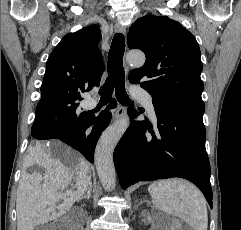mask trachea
<instances>
[{
	"label": "trachea",
	"mask_w": 241,
	"mask_h": 230,
	"mask_svg": "<svg viewBox=\"0 0 241 230\" xmlns=\"http://www.w3.org/2000/svg\"><path fill=\"white\" fill-rule=\"evenodd\" d=\"M124 51V36L121 33H117L114 35L108 55V77L99 90L101 103H108L110 101L114 88L116 98L120 103H132L125 91V73L123 68Z\"/></svg>",
	"instance_id": "1"
}]
</instances>
